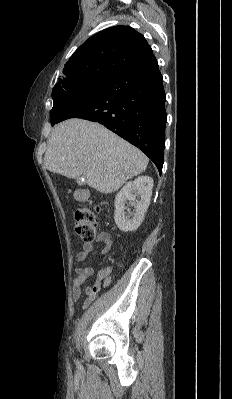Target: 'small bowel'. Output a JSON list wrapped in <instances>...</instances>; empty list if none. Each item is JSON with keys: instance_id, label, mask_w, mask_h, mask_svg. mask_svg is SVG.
Returning <instances> with one entry per match:
<instances>
[{"instance_id": "obj_1", "label": "small bowel", "mask_w": 232, "mask_h": 399, "mask_svg": "<svg viewBox=\"0 0 232 399\" xmlns=\"http://www.w3.org/2000/svg\"><path fill=\"white\" fill-rule=\"evenodd\" d=\"M112 246L111 242H106L105 244H103L102 248L100 249V253L101 254H106L110 248ZM92 243L91 242H85L84 246H83V250H81L78 253V262L80 264H85L90 252L92 251ZM89 276V270L86 268H78L76 269L75 272V277L73 280V292H72V296H71V300L73 303H75L76 301L79 300L80 296H81V287L82 285L85 283V281L87 280ZM85 293H86V298L83 301V308L88 307V305L91 303L92 298H93V287L91 285L87 286L85 289Z\"/></svg>"}]
</instances>
